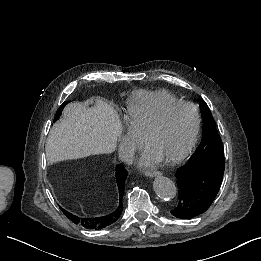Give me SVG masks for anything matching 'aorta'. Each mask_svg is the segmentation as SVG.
Wrapping results in <instances>:
<instances>
[{"label":"aorta","mask_w":261,"mask_h":261,"mask_svg":"<svg viewBox=\"0 0 261 261\" xmlns=\"http://www.w3.org/2000/svg\"><path fill=\"white\" fill-rule=\"evenodd\" d=\"M153 188L156 195L165 200H171L176 196L177 188L174 182L167 177H157L153 182Z\"/></svg>","instance_id":"obj_1"}]
</instances>
